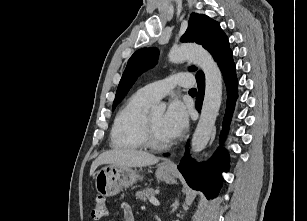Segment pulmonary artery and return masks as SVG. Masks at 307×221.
Here are the masks:
<instances>
[{
	"label": "pulmonary artery",
	"instance_id": "obj_1",
	"mask_svg": "<svg viewBox=\"0 0 307 221\" xmlns=\"http://www.w3.org/2000/svg\"><path fill=\"white\" fill-rule=\"evenodd\" d=\"M193 85V77L189 73H177L166 79L149 83L140 90L153 101H157L170 93L176 86L189 88Z\"/></svg>",
	"mask_w": 307,
	"mask_h": 221
}]
</instances>
